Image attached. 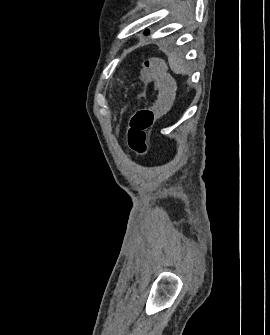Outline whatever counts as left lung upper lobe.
Returning <instances> with one entry per match:
<instances>
[{"label": "left lung upper lobe", "instance_id": "1", "mask_svg": "<svg viewBox=\"0 0 270 335\" xmlns=\"http://www.w3.org/2000/svg\"><path fill=\"white\" fill-rule=\"evenodd\" d=\"M144 33H145V34H149V31H148V30H146Z\"/></svg>", "mask_w": 270, "mask_h": 335}]
</instances>
